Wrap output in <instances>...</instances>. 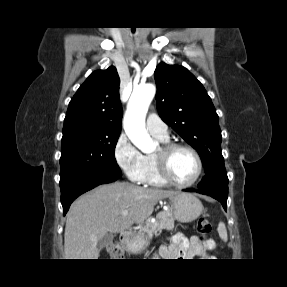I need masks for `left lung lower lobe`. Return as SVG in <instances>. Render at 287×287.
<instances>
[{
	"label": "left lung lower lobe",
	"instance_id": "1",
	"mask_svg": "<svg viewBox=\"0 0 287 287\" xmlns=\"http://www.w3.org/2000/svg\"><path fill=\"white\" fill-rule=\"evenodd\" d=\"M186 191H188V192H195L196 191L200 194L211 196V197L217 199L222 204V206L225 210L227 209L228 194H224L222 192L213 191V190H206V189H198V190L186 189Z\"/></svg>",
	"mask_w": 287,
	"mask_h": 287
}]
</instances>
